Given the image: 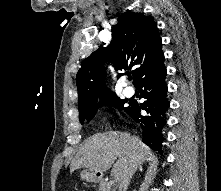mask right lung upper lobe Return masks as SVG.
Listing matches in <instances>:
<instances>
[{
    "instance_id": "cb5924a9",
    "label": "right lung upper lobe",
    "mask_w": 221,
    "mask_h": 191,
    "mask_svg": "<svg viewBox=\"0 0 221 191\" xmlns=\"http://www.w3.org/2000/svg\"><path fill=\"white\" fill-rule=\"evenodd\" d=\"M112 39L111 45L100 46L81 63L76 76L80 113L116 96L105 86V62H112L113 66L121 71L133 68L131 73L135 84L163 55L157 23L153 17L141 13H126L120 16L112 29Z\"/></svg>"
}]
</instances>
